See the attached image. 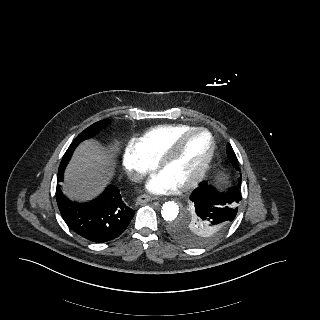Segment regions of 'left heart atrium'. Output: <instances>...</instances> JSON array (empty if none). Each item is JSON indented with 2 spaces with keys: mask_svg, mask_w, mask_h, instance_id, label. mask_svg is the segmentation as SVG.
Returning <instances> with one entry per match:
<instances>
[{
  "mask_svg": "<svg viewBox=\"0 0 320 320\" xmlns=\"http://www.w3.org/2000/svg\"><path fill=\"white\" fill-rule=\"evenodd\" d=\"M177 185L166 178L162 173L156 174L147 182L146 188L152 193H166L176 189Z\"/></svg>",
  "mask_w": 320,
  "mask_h": 320,
  "instance_id": "39dd6f15",
  "label": "left heart atrium"
}]
</instances>
